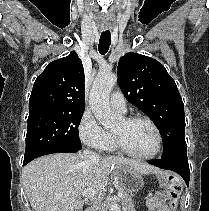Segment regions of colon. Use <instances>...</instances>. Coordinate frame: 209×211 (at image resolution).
<instances>
[{
    "mask_svg": "<svg viewBox=\"0 0 209 211\" xmlns=\"http://www.w3.org/2000/svg\"><path fill=\"white\" fill-rule=\"evenodd\" d=\"M165 187L169 196V207L171 211H175L180 196V184L175 178L170 177L166 180Z\"/></svg>",
    "mask_w": 209,
    "mask_h": 211,
    "instance_id": "5ec220e1",
    "label": "colon"
}]
</instances>
